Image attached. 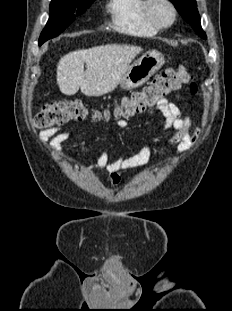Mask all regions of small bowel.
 I'll return each instance as SVG.
<instances>
[{"instance_id": "obj_1", "label": "small bowel", "mask_w": 232, "mask_h": 311, "mask_svg": "<svg viewBox=\"0 0 232 311\" xmlns=\"http://www.w3.org/2000/svg\"><path fill=\"white\" fill-rule=\"evenodd\" d=\"M156 110L164 117V130L173 131L172 135L167 139V143L177 146L179 151L184 150L191 140L190 119L183 117L178 107L166 98L157 103ZM151 112H155V110ZM117 124L120 128H125L127 126L124 120H119ZM70 137V132L61 131L59 128L47 129L40 135L41 141L47 143L50 150L62 159H67L68 157L63 143ZM149 155L150 147L148 144L144 146L139 153L133 156H127L125 153H121L112 162L109 161L107 151H103L94 164H80L79 167L91 172L106 170L109 173L111 183L113 185H118L121 183V177L118 174L120 170H127L145 164L149 159Z\"/></svg>"}]
</instances>
